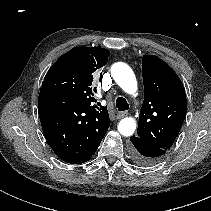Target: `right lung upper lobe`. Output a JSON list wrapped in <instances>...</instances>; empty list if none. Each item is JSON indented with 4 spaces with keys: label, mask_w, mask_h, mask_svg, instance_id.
I'll return each instance as SVG.
<instances>
[{
    "label": "right lung upper lobe",
    "mask_w": 211,
    "mask_h": 211,
    "mask_svg": "<svg viewBox=\"0 0 211 211\" xmlns=\"http://www.w3.org/2000/svg\"><path fill=\"white\" fill-rule=\"evenodd\" d=\"M110 52L100 47H75L62 55L48 70L42 88L58 91L73 97L84 110L109 120L107 106L96 109L94 87L99 74ZM102 73L100 74V80Z\"/></svg>",
    "instance_id": "right-lung-upper-lobe-1"
}]
</instances>
